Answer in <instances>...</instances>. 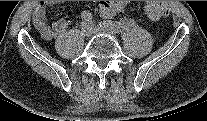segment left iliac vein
Wrapping results in <instances>:
<instances>
[{
    "mask_svg": "<svg viewBox=\"0 0 207 121\" xmlns=\"http://www.w3.org/2000/svg\"><path fill=\"white\" fill-rule=\"evenodd\" d=\"M93 33H104V34H114V32L108 28L95 26L91 24Z\"/></svg>",
    "mask_w": 207,
    "mask_h": 121,
    "instance_id": "4c4485c4",
    "label": "left iliac vein"
}]
</instances>
